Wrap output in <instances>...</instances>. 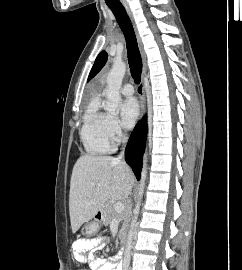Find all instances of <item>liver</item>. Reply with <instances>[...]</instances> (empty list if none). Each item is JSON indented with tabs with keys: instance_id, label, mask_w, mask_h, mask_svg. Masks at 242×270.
I'll list each match as a JSON object with an SVG mask.
<instances>
[{
	"instance_id": "1",
	"label": "liver",
	"mask_w": 242,
	"mask_h": 270,
	"mask_svg": "<svg viewBox=\"0 0 242 270\" xmlns=\"http://www.w3.org/2000/svg\"><path fill=\"white\" fill-rule=\"evenodd\" d=\"M133 183V173L124 161L110 156H81L73 167L70 184L72 232L102 211L108 200L126 199Z\"/></svg>"
}]
</instances>
